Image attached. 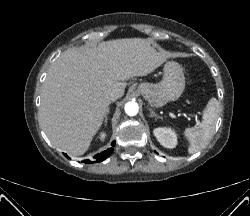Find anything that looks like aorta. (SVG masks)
I'll use <instances>...</instances> for the list:
<instances>
[{
    "instance_id": "aorta-1",
    "label": "aorta",
    "mask_w": 250,
    "mask_h": 216,
    "mask_svg": "<svg viewBox=\"0 0 250 216\" xmlns=\"http://www.w3.org/2000/svg\"><path fill=\"white\" fill-rule=\"evenodd\" d=\"M124 109L127 115L135 116L139 111V106L136 102L131 101L125 104Z\"/></svg>"
}]
</instances>
